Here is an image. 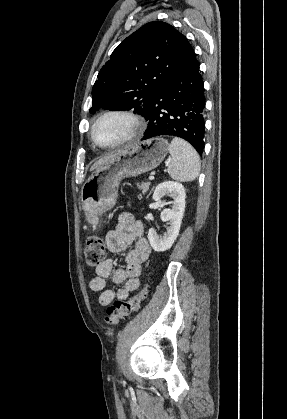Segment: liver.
<instances>
[{
	"instance_id": "liver-1",
	"label": "liver",
	"mask_w": 287,
	"mask_h": 419,
	"mask_svg": "<svg viewBox=\"0 0 287 419\" xmlns=\"http://www.w3.org/2000/svg\"><path fill=\"white\" fill-rule=\"evenodd\" d=\"M119 152V151H118ZM117 152V153H118ZM117 153H111V154H108L107 156H105V157H102V158H100L99 160H97L93 165H92V167H91V170H95V169H97V168H99L101 165H103L105 162H107L109 159H111L115 154H117Z\"/></svg>"
}]
</instances>
